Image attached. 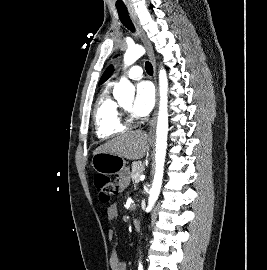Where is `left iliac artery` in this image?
I'll list each match as a JSON object with an SVG mask.
<instances>
[{"label":"left iliac artery","instance_id":"obj_1","mask_svg":"<svg viewBox=\"0 0 267 270\" xmlns=\"http://www.w3.org/2000/svg\"><path fill=\"white\" fill-rule=\"evenodd\" d=\"M138 270H143L142 265H140V266L138 267Z\"/></svg>","mask_w":267,"mask_h":270}]
</instances>
